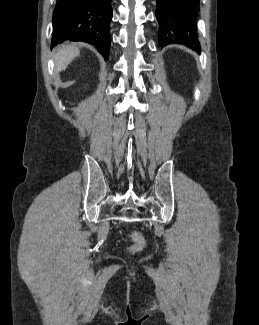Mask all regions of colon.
<instances>
[{
    "instance_id": "1",
    "label": "colon",
    "mask_w": 259,
    "mask_h": 325,
    "mask_svg": "<svg viewBox=\"0 0 259 325\" xmlns=\"http://www.w3.org/2000/svg\"><path fill=\"white\" fill-rule=\"evenodd\" d=\"M130 237L132 240V245H131L132 252H138L144 248L145 240L140 233L134 231L130 234Z\"/></svg>"
}]
</instances>
